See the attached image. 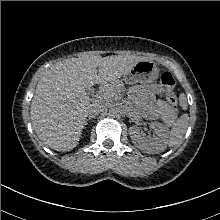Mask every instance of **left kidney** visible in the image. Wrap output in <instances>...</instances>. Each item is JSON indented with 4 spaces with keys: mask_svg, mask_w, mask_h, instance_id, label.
<instances>
[{
    "mask_svg": "<svg viewBox=\"0 0 220 220\" xmlns=\"http://www.w3.org/2000/svg\"><path fill=\"white\" fill-rule=\"evenodd\" d=\"M150 127L154 129V139L148 140L142 137L140 129L137 126L129 128V134L132 142L141 150L147 153L158 154L165 150L168 138V129L159 122H152Z\"/></svg>",
    "mask_w": 220,
    "mask_h": 220,
    "instance_id": "left-kidney-1",
    "label": "left kidney"
}]
</instances>
